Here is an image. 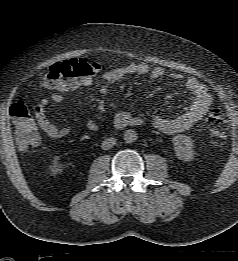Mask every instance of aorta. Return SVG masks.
Wrapping results in <instances>:
<instances>
[{"instance_id": "1", "label": "aorta", "mask_w": 238, "mask_h": 261, "mask_svg": "<svg viewBox=\"0 0 238 261\" xmlns=\"http://www.w3.org/2000/svg\"><path fill=\"white\" fill-rule=\"evenodd\" d=\"M124 140L126 143L135 142L137 140V133L132 129L126 130L124 132Z\"/></svg>"}]
</instances>
